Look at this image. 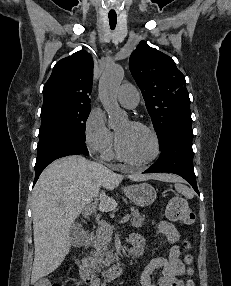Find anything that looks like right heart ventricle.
Here are the masks:
<instances>
[{
    "mask_svg": "<svg viewBox=\"0 0 231 286\" xmlns=\"http://www.w3.org/2000/svg\"><path fill=\"white\" fill-rule=\"evenodd\" d=\"M103 157L107 160L113 159L115 158V154L112 152V150L110 149L108 152H106Z\"/></svg>",
    "mask_w": 231,
    "mask_h": 286,
    "instance_id": "1",
    "label": "right heart ventricle"
}]
</instances>
